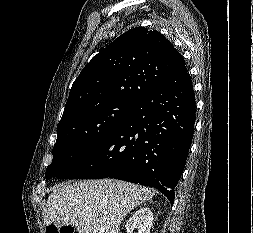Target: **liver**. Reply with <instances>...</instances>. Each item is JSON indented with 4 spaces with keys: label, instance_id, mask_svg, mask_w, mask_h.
I'll return each instance as SVG.
<instances>
[{
    "label": "liver",
    "instance_id": "liver-1",
    "mask_svg": "<svg viewBox=\"0 0 253 233\" xmlns=\"http://www.w3.org/2000/svg\"><path fill=\"white\" fill-rule=\"evenodd\" d=\"M154 191L129 182L102 179L57 187L44 208V224H71L79 233H120V224Z\"/></svg>",
    "mask_w": 253,
    "mask_h": 233
}]
</instances>
